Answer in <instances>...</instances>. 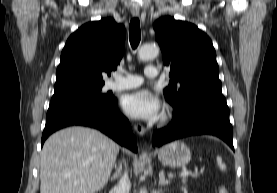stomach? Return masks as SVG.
<instances>
[{"label":"stomach","instance_id":"0dacf381","mask_svg":"<svg viewBox=\"0 0 277 193\" xmlns=\"http://www.w3.org/2000/svg\"><path fill=\"white\" fill-rule=\"evenodd\" d=\"M158 158L164 165L181 167L190 161L191 152L184 142L174 141L159 150Z\"/></svg>","mask_w":277,"mask_h":193}]
</instances>
